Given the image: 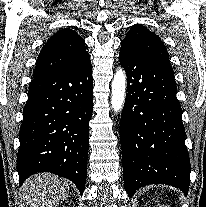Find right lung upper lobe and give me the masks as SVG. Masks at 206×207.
I'll return each mask as SVG.
<instances>
[{
    "mask_svg": "<svg viewBox=\"0 0 206 207\" xmlns=\"http://www.w3.org/2000/svg\"><path fill=\"white\" fill-rule=\"evenodd\" d=\"M88 58L83 38L72 29H62L42 48L36 62L34 78L64 73Z\"/></svg>",
    "mask_w": 206,
    "mask_h": 207,
    "instance_id": "cb5924a9",
    "label": "right lung upper lobe"
}]
</instances>
